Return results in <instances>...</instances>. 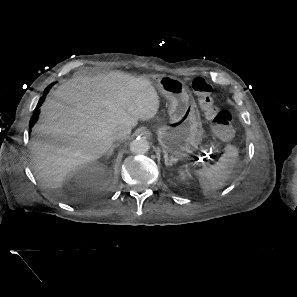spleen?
<instances>
[{
    "label": "spleen",
    "mask_w": 297,
    "mask_h": 297,
    "mask_svg": "<svg viewBox=\"0 0 297 297\" xmlns=\"http://www.w3.org/2000/svg\"><path fill=\"white\" fill-rule=\"evenodd\" d=\"M237 156V148L230 147L215 165L195 171L204 195H209L225 185L235 166Z\"/></svg>",
    "instance_id": "spleen-1"
}]
</instances>
